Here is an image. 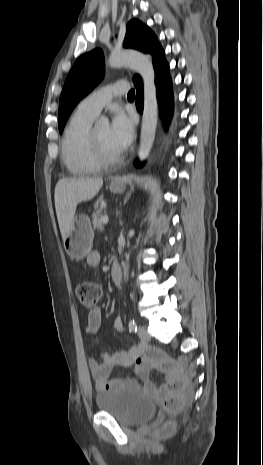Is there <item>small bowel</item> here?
Instances as JSON below:
<instances>
[{"label": "small bowel", "instance_id": "1", "mask_svg": "<svg viewBox=\"0 0 263 465\" xmlns=\"http://www.w3.org/2000/svg\"><path fill=\"white\" fill-rule=\"evenodd\" d=\"M100 263V253L97 251L91 252L87 257V264L90 267H96ZM102 324V312L99 307H95L88 312L87 325L85 334L94 336L97 334ZM113 327L118 333L123 332L121 317L118 316L114 320ZM100 360L95 357L88 359V366L91 376L94 380L95 387L98 390H107L116 387H125L130 389L143 390L152 395H161L166 385L172 383L176 376L173 372L167 373V383L161 387H157L149 379V364L142 356V348L133 346L128 351H119L113 354L103 350L99 354ZM129 367L134 366V372L138 377L135 379L112 378L111 372L114 367Z\"/></svg>", "mask_w": 263, "mask_h": 465}]
</instances>
